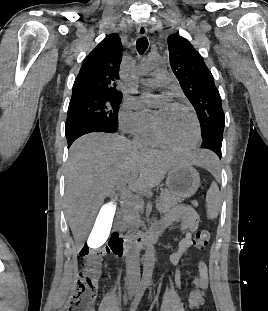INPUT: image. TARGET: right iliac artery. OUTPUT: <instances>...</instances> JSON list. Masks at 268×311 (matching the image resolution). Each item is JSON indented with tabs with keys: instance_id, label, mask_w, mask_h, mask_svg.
I'll list each match as a JSON object with an SVG mask.
<instances>
[{
	"instance_id": "right-iliac-artery-1",
	"label": "right iliac artery",
	"mask_w": 268,
	"mask_h": 311,
	"mask_svg": "<svg viewBox=\"0 0 268 311\" xmlns=\"http://www.w3.org/2000/svg\"><path fill=\"white\" fill-rule=\"evenodd\" d=\"M147 286H148V281L146 279H142L139 285V288L137 290V293L131 303L129 311H135L137 309V306L139 305Z\"/></svg>"
}]
</instances>
